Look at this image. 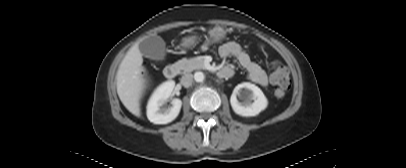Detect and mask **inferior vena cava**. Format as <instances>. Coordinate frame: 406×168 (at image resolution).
I'll return each instance as SVG.
<instances>
[{
    "label": "inferior vena cava",
    "mask_w": 406,
    "mask_h": 168,
    "mask_svg": "<svg viewBox=\"0 0 406 168\" xmlns=\"http://www.w3.org/2000/svg\"><path fill=\"white\" fill-rule=\"evenodd\" d=\"M192 82H193V75L191 73H186L181 78V83L186 88L191 86Z\"/></svg>",
    "instance_id": "1"
}]
</instances>
